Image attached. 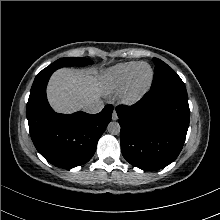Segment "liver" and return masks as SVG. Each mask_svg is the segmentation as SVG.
<instances>
[{"label": "liver", "mask_w": 220, "mask_h": 220, "mask_svg": "<svg viewBox=\"0 0 220 220\" xmlns=\"http://www.w3.org/2000/svg\"><path fill=\"white\" fill-rule=\"evenodd\" d=\"M101 84L92 70L62 68L53 73L47 87V98L58 113L70 114L99 99Z\"/></svg>", "instance_id": "liver-1"}]
</instances>
